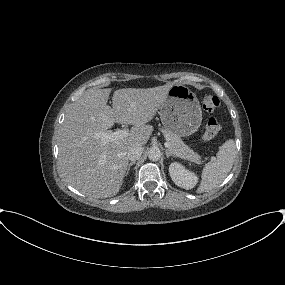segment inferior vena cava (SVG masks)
I'll return each mask as SVG.
<instances>
[{
  "instance_id": "602c4592",
  "label": "inferior vena cava",
  "mask_w": 285,
  "mask_h": 285,
  "mask_svg": "<svg viewBox=\"0 0 285 285\" xmlns=\"http://www.w3.org/2000/svg\"><path fill=\"white\" fill-rule=\"evenodd\" d=\"M143 153V147L141 145H134L127 152V158L131 161L138 160Z\"/></svg>"
}]
</instances>
